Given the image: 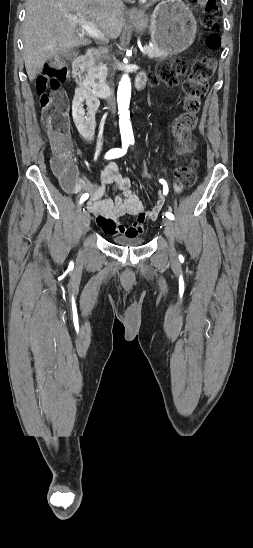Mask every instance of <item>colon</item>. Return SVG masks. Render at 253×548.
Segmentation results:
<instances>
[{
	"instance_id": "5ec220e1",
	"label": "colon",
	"mask_w": 253,
	"mask_h": 548,
	"mask_svg": "<svg viewBox=\"0 0 253 548\" xmlns=\"http://www.w3.org/2000/svg\"><path fill=\"white\" fill-rule=\"evenodd\" d=\"M190 4L200 7L203 12V23L207 29L206 45L215 50L220 46L217 34L218 20L215 0H188ZM216 68L212 56L202 57L192 63L190 69L183 60H175L159 68L153 77L154 83L175 85L181 75L188 73L182 88L185 94L184 109L173 126L174 134L181 142V150L188 152L193 148L191 131L197 122L196 114L207 94L209 81ZM68 74L63 59H57L45 64L36 80V91L40 95L41 121L52 138L54 157L53 171L61 179H69L74 174V165L70 160L71 141L68 127L69 101L67 95L60 90V84ZM198 160L194 158L190 165H181L175 169V178L183 186H191L196 180L195 168ZM140 178L152 180L153 172L149 170L148 162H143Z\"/></svg>"
}]
</instances>
